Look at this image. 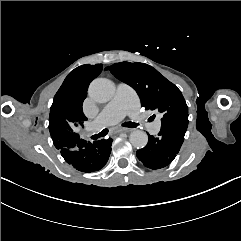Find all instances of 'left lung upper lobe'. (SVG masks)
<instances>
[{
    "instance_id": "left-lung-upper-lobe-1",
    "label": "left lung upper lobe",
    "mask_w": 241,
    "mask_h": 241,
    "mask_svg": "<svg viewBox=\"0 0 241 241\" xmlns=\"http://www.w3.org/2000/svg\"><path fill=\"white\" fill-rule=\"evenodd\" d=\"M105 70L135 89L145 109L163 113L162 125L188 124V107L181 91L152 66L120 62Z\"/></svg>"
}]
</instances>
